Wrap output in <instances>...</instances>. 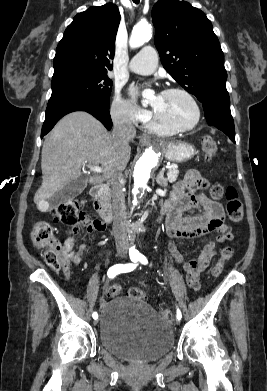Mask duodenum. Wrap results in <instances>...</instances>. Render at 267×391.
I'll return each mask as SVG.
<instances>
[{
    "mask_svg": "<svg viewBox=\"0 0 267 391\" xmlns=\"http://www.w3.org/2000/svg\"><path fill=\"white\" fill-rule=\"evenodd\" d=\"M91 195L93 197V207L95 211L105 222H111L113 218V212L107 201V186L104 184L94 186L91 189Z\"/></svg>",
    "mask_w": 267,
    "mask_h": 391,
    "instance_id": "duodenum-1",
    "label": "duodenum"
}]
</instances>
